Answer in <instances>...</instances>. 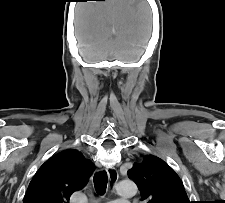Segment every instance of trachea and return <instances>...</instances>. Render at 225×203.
<instances>
[{
	"label": "trachea",
	"instance_id": "trachea-1",
	"mask_svg": "<svg viewBox=\"0 0 225 203\" xmlns=\"http://www.w3.org/2000/svg\"><path fill=\"white\" fill-rule=\"evenodd\" d=\"M107 173L106 171L97 172L93 177L94 187L98 194L103 195L107 188Z\"/></svg>",
	"mask_w": 225,
	"mask_h": 203
}]
</instances>
